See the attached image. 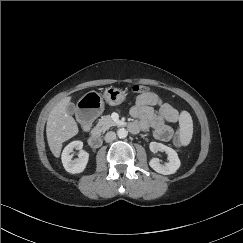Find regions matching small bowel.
<instances>
[{
	"label": "small bowel",
	"instance_id": "1",
	"mask_svg": "<svg viewBox=\"0 0 243 243\" xmlns=\"http://www.w3.org/2000/svg\"><path fill=\"white\" fill-rule=\"evenodd\" d=\"M155 107L158 111H155ZM130 114L135 119L129 126L133 133L152 129L155 138L164 142L170 141L173 137V131L165 122L177 123L179 121L178 111L153 91L140 94Z\"/></svg>",
	"mask_w": 243,
	"mask_h": 243
}]
</instances>
